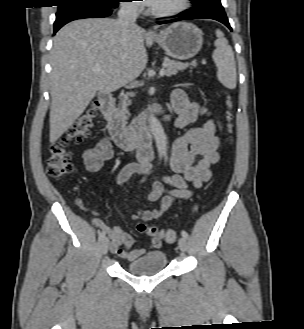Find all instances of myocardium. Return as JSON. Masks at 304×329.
Segmentation results:
<instances>
[{
  "label": "myocardium",
  "mask_w": 304,
  "mask_h": 329,
  "mask_svg": "<svg viewBox=\"0 0 304 329\" xmlns=\"http://www.w3.org/2000/svg\"><path fill=\"white\" fill-rule=\"evenodd\" d=\"M190 6V0H180L179 4L173 8L165 10H156L149 7L148 12L158 18L173 17L186 11Z\"/></svg>",
  "instance_id": "f54148a6"
}]
</instances>
